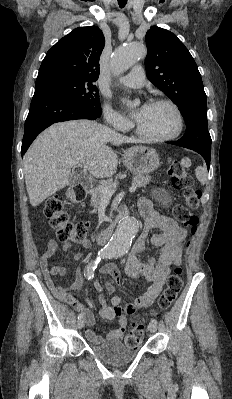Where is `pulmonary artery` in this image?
I'll return each instance as SVG.
<instances>
[{"label": "pulmonary artery", "mask_w": 232, "mask_h": 399, "mask_svg": "<svg viewBox=\"0 0 232 399\" xmlns=\"http://www.w3.org/2000/svg\"><path fill=\"white\" fill-rule=\"evenodd\" d=\"M140 84H145V77H142L139 69H132L123 77V90H140Z\"/></svg>", "instance_id": "pulmonary-artery-1"}]
</instances>
